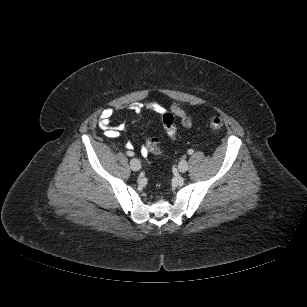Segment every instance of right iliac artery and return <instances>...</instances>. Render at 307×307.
Masks as SVG:
<instances>
[{
    "label": "right iliac artery",
    "mask_w": 307,
    "mask_h": 307,
    "mask_svg": "<svg viewBox=\"0 0 307 307\" xmlns=\"http://www.w3.org/2000/svg\"><path fill=\"white\" fill-rule=\"evenodd\" d=\"M127 155H129V156H133L134 154H133V152L128 151V152H127Z\"/></svg>",
    "instance_id": "right-iliac-artery-1"
}]
</instances>
